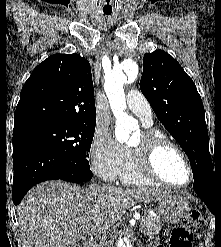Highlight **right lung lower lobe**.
<instances>
[{
	"mask_svg": "<svg viewBox=\"0 0 221 247\" xmlns=\"http://www.w3.org/2000/svg\"><path fill=\"white\" fill-rule=\"evenodd\" d=\"M13 202L18 205L34 185L60 179L81 183L92 178L90 169L69 161L53 149L30 139L13 138Z\"/></svg>",
	"mask_w": 221,
	"mask_h": 247,
	"instance_id": "obj_1",
	"label": "right lung lower lobe"
}]
</instances>
